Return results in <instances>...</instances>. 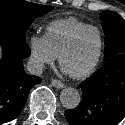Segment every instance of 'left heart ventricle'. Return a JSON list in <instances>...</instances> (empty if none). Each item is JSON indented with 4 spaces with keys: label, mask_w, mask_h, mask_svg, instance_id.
<instances>
[{
    "label": "left heart ventricle",
    "mask_w": 125,
    "mask_h": 125,
    "mask_svg": "<svg viewBox=\"0 0 125 125\" xmlns=\"http://www.w3.org/2000/svg\"><path fill=\"white\" fill-rule=\"evenodd\" d=\"M99 48V37L95 30L83 32L63 58V68L71 74L86 70L93 62Z\"/></svg>",
    "instance_id": "b2bd125f"
}]
</instances>
